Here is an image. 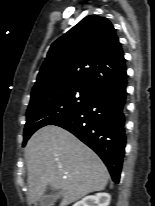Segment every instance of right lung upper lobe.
I'll return each mask as SVG.
<instances>
[{"mask_svg":"<svg viewBox=\"0 0 155 206\" xmlns=\"http://www.w3.org/2000/svg\"><path fill=\"white\" fill-rule=\"evenodd\" d=\"M125 74L124 53L113 25L90 15L52 44L31 95L75 85L101 90Z\"/></svg>","mask_w":155,"mask_h":206,"instance_id":"right-lung-upper-lobe-1","label":"right lung upper lobe"}]
</instances>
